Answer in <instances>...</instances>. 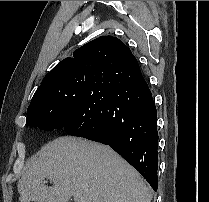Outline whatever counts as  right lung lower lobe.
<instances>
[{
    "instance_id": "1",
    "label": "right lung lower lobe",
    "mask_w": 209,
    "mask_h": 202,
    "mask_svg": "<svg viewBox=\"0 0 209 202\" xmlns=\"http://www.w3.org/2000/svg\"><path fill=\"white\" fill-rule=\"evenodd\" d=\"M63 129L109 145L157 190V111L136 59L96 77Z\"/></svg>"
}]
</instances>
